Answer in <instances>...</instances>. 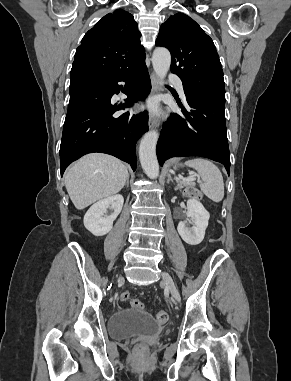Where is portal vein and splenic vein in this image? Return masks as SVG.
<instances>
[{"mask_svg":"<svg viewBox=\"0 0 291 381\" xmlns=\"http://www.w3.org/2000/svg\"><path fill=\"white\" fill-rule=\"evenodd\" d=\"M195 176H197V175H192V176L188 177L187 180L193 181V180L196 179ZM179 177L183 179V177H182L181 175H179ZM197 177H198V176H197Z\"/></svg>","mask_w":291,"mask_h":381,"instance_id":"1","label":"portal vein and splenic vein"}]
</instances>
